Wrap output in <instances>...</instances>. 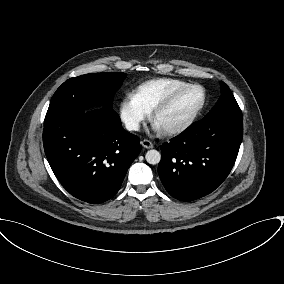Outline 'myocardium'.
Masks as SVG:
<instances>
[{
    "label": "myocardium",
    "mask_w": 284,
    "mask_h": 284,
    "mask_svg": "<svg viewBox=\"0 0 284 284\" xmlns=\"http://www.w3.org/2000/svg\"><path fill=\"white\" fill-rule=\"evenodd\" d=\"M191 88H198L202 91V101L199 104V106L194 110V112L185 120L182 122L160 129L161 133L164 135H177L185 130H187L198 118V116L201 114L203 111L206 102H207V92L205 88L197 83H191V84H186L174 92H172L169 96H167L162 102H160L151 112L150 119L153 123H155L156 118L166 111L168 108H170L174 102L178 99L180 95H182L185 91L191 89Z\"/></svg>",
    "instance_id": "1"
}]
</instances>
